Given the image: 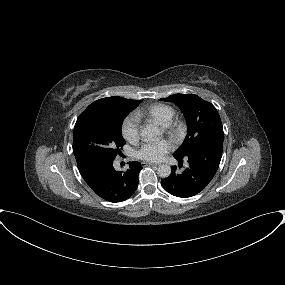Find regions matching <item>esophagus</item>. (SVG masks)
<instances>
[{
  "label": "esophagus",
  "mask_w": 285,
  "mask_h": 285,
  "mask_svg": "<svg viewBox=\"0 0 285 285\" xmlns=\"http://www.w3.org/2000/svg\"><path fill=\"white\" fill-rule=\"evenodd\" d=\"M142 164L143 166H157L158 165L157 163H148V162H143Z\"/></svg>",
  "instance_id": "esophagus-1"
}]
</instances>
